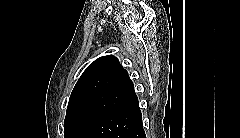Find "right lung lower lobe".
<instances>
[{
	"instance_id": "obj_1",
	"label": "right lung lower lobe",
	"mask_w": 240,
	"mask_h": 138,
	"mask_svg": "<svg viewBox=\"0 0 240 138\" xmlns=\"http://www.w3.org/2000/svg\"><path fill=\"white\" fill-rule=\"evenodd\" d=\"M86 138H146L138 99L108 114Z\"/></svg>"
}]
</instances>
